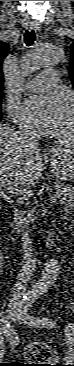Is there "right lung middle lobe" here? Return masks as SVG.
Returning a JSON list of instances; mask_svg holds the SVG:
<instances>
[{"label":"right lung middle lobe","mask_w":74,"mask_h":366,"mask_svg":"<svg viewBox=\"0 0 74 366\" xmlns=\"http://www.w3.org/2000/svg\"><path fill=\"white\" fill-rule=\"evenodd\" d=\"M1 100H2V92L0 93V102H1Z\"/></svg>","instance_id":"obj_1"}]
</instances>
